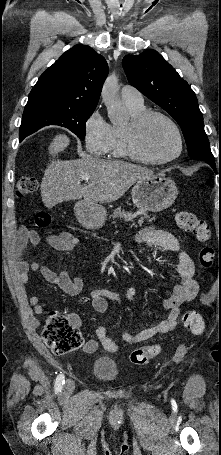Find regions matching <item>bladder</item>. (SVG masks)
<instances>
[{"mask_svg": "<svg viewBox=\"0 0 221 455\" xmlns=\"http://www.w3.org/2000/svg\"><path fill=\"white\" fill-rule=\"evenodd\" d=\"M92 371L98 378L105 381H112L116 379L119 368L114 361L100 358L94 361Z\"/></svg>", "mask_w": 221, "mask_h": 455, "instance_id": "1", "label": "bladder"}]
</instances>
